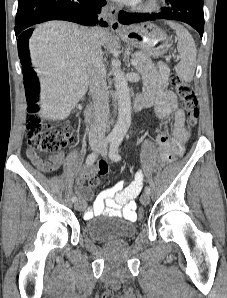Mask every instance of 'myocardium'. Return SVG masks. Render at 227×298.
Segmentation results:
<instances>
[{
  "label": "myocardium",
  "instance_id": "obj_1",
  "mask_svg": "<svg viewBox=\"0 0 227 298\" xmlns=\"http://www.w3.org/2000/svg\"><path fill=\"white\" fill-rule=\"evenodd\" d=\"M160 6V0H138L133 3L135 10L139 12H153Z\"/></svg>",
  "mask_w": 227,
  "mask_h": 298
}]
</instances>
